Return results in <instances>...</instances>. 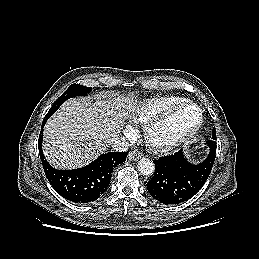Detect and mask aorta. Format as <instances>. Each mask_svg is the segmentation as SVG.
I'll return each instance as SVG.
<instances>
[{
  "mask_svg": "<svg viewBox=\"0 0 259 259\" xmlns=\"http://www.w3.org/2000/svg\"><path fill=\"white\" fill-rule=\"evenodd\" d=\"M138 171L145 176H150L155 171V164L152 160L148 158H142L138 162Z\"/></svg>",
  "mask_w": 259,
  "mask_h": 259,
  "instance_id": "obj_1",
  "label": "aorta"
}]
</instances>
